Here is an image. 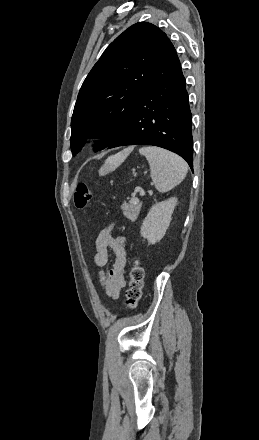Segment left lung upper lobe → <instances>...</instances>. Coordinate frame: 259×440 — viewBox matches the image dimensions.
Wrapping results in <instances>:
<instances>
[{
    "label": "left lung upper lobe",
    "mask_w": 259,
    "mask_h": 440,
    "mask_svg": "<svg viewBox=\"0 0 259 440\" xmlns=\"http://www.w3.org/2000/svg\"><path fill=\"white\" fill-rule=\"evenodd\" d=\"M167 40L155 25L138 22L107 47L78 94L71 119L73 155L88 138H102L96 151L116 140L145 90Z\"/></svg>",
    "instance_id": "1"
}]
</instances>
